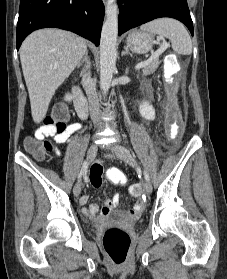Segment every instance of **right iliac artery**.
<instances>
[{"label": "right iliac artery", "instance_id": "obj_1", "mask_svg": "<svg viewBox=\"0 0 227 279\" xmlns=\"http://www.w3.org/2000/svg\"><path fill=\"white\" fill-rule=\"evenodd\" d=\"M88 164L84 162L83 167L78 175V178L80 179L82 175H84L87 172Z\"/></svg>", "mask_w": 227, "mask_h": 279}]
</instances>
